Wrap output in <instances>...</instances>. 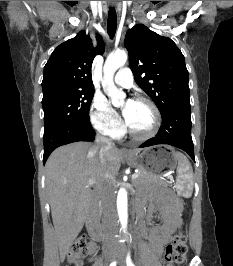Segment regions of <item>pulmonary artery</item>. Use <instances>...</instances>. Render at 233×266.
Listing matches in <instances>:
<instances>
[{"instance_id":"e3ab8cb5","label":"pulmonary artery","mask_w":233,"mask_h":266,"mask_svg":"<svg viewBox=\"0 0 233 266\" xmlns=\"http://www.w3.org/2000/svg\"><path fill=\"white\" fill-rule=\"evenodd\" d=\"M114 81L119 86L130 88L133 85V74L130 68H121L115 75Z\"/></svg>"}]
</instances>
